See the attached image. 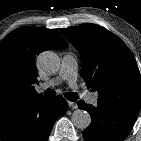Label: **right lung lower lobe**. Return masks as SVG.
Returning a JSON list of instances; mask_svg holds the SVG:
<instances>
[{"label":"right lung lower lobe","mask_w":141,"mask_h":141,"mask_svg":"<svg viewBox=\"0 0 141 141\" xmlns=\"http://www.w3.org/2000/svg\"><path fill=\"white\" fill-rule=\"evenodd\" d=\"M67 110L61 96L36 98L0 112L2 141H47L55 121Z\"/></svg>","instance_id":"1"}]
</instances>
